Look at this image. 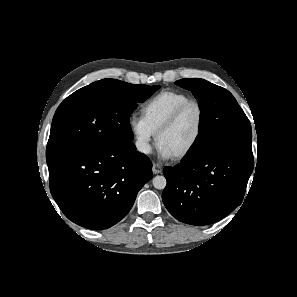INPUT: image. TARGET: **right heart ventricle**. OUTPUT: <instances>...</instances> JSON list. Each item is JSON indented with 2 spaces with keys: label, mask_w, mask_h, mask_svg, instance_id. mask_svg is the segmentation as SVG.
<instances>
[{
  "label": "right heart ventricle",
  "mask_w": 297,
  "mask_h": 297,
  "mask_svg": "<svg viewBox=\"0 0 297 297\" xmlns=\"http://www.w3.org/2000/svg\"><path fill=\"white\" fill-rule=\"evenodd\" d=\"M190 99L188 95L179 91H161L143 103L141 107L142 118L156 134L171 113L179 105Z\"/></svg>",
  "instance_id": "e07e8e85"
}]
</instances>
